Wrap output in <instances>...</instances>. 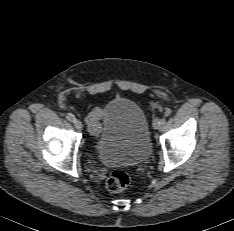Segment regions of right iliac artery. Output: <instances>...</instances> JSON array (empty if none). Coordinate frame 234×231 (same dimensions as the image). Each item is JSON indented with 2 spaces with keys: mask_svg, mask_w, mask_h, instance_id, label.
<instances>
[{
  "mask_svg": "<svg viewBox=\"0 0 234 231\" xmlns=\"http://www.w3.org/2000/svg\"><path fill=\"white\" fill-rule=\"evenodd\" d=\"M66 118H67L69 121H71V122H73V121L75 120L74 115L71 114V113H67V114H66Z\"/></svg>",
  "mask_w": 234,
  "mask_h": 231,
  "instance_id": "1",
  "label": "right iliac artery"
}]
</instances>
